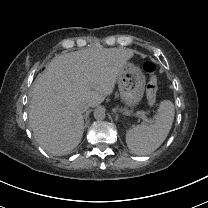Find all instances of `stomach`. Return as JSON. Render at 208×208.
<instances>
[{"instance_id":"0dacf381","label":"stomach","mask_w":208,"mask_h":208,"mask_svg":"<svg viewBox=\"0 0 208 208\" xmlns=\"http://www.w3.org/2000/svg\"><path fill=\"white\" fill-rule=\"evenodd\" d=\"M146 80L142 71L132 64L126 63L118 77L120 98L126 109L137 107L145 92Z\"/></svg>"}]
</instances>
